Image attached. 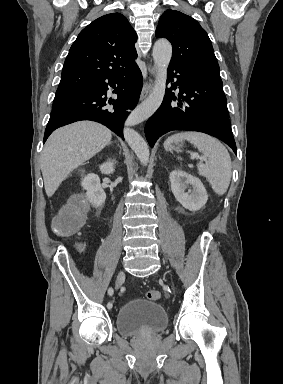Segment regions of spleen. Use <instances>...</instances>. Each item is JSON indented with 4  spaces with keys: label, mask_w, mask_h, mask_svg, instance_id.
<instances>
[{
    "label": "spleen",
    "mask_w": 283,
    "mask_h": 384,
    "mask_svg": "<svg viewBox=\"0 0 283 384\" xmlns=\"http://www.w3.org/2000/svg\"><path fill=\"white\" fill-rule=\"evenodd\" d=\"M182 140L193 144L194 148H197L207 158L206 164H197L198 174L208 180L215 194L223 196L229 188L232 176V162L228 150L216 138H211L207 134L183 132V134L170 136L164 142L166 152H172V144L182 142Z\"/></svg>",
    "instance_id": "spleen-1"
}]
</instances>
